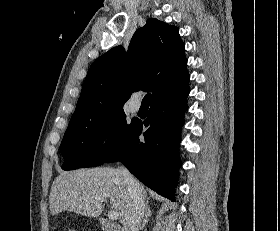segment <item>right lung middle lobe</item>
Returning <instances> with one entry per match:
<instances>
[{
  "instance_id": "1",
  "label": "right lung middle lobe",
  "mask_w": 280,
  "mask_h": 231,
  "mask_svg": "<svg viewBox=\"0 0 280 231\" xmlns=\"http://www.w3.org/2000/svg\"><path fill=\"white\" fill-rule=\"evenodd\" d=\"M133 124H127L124 111L100 119L70 122L61 143L65 159L62 168L72 170L103 164L118 153Z\"/></svg>"
}]
</instances>
